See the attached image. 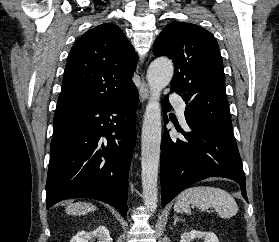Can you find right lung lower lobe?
Segmentation results:
<instances>
[{
	"mask_svg": "<svg viewBox=\"0 0 279 242\" xmlns=\"http://www.w3.org/2000/svg\"><path fill=\"white\" fill-rule=\"evenodd\" d=\"M137 102L135 90L113 104L55 115L47 209L68 198H93L116 207L125 218Z\"/></svg>",
	"mask_w": 279,
	"mask_h": 242,
	"instance_id": "right-lung-lower-lobe-1",
	"label": "right lung lower lobe"
}]
</instances>
